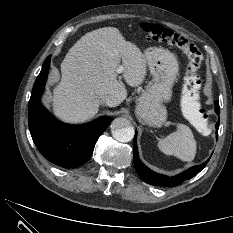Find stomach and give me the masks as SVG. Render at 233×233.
I'll list each match as a JSON object with an SVG mask.
<instances>
[{"mask_svg":"<svg viewBox=\"0 0 233 233\" xmlns=\"http://www.w3.org/2000/svg\"><path fill=\"white\" fill-rule=\"evenodd\" d=\"M144 56L152 79L136 103V116L142 124L161 126L167 119L164 102L170 101L179 65L176 56L164 48H147Z\"/></svg>","mask_w":233,"mask_h":233,"instance_id":"1","label":"stomach"}]
</instances>
